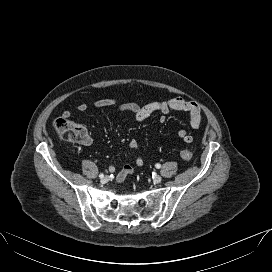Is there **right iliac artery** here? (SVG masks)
<instances>
[{"mask_svg":"<svg viewBox=\"0 0 272 272\" xmlns=\"http://www.w3.org/2000/svg\"><path fill=\"white\" fill-rule=\"evenodd\" d=\"M99 177L102 179V178L104 177V175L101 173V174L99 175Z\"/></svg>","mask_w":272,"mask_h":272,"instance_id":"1","label":"right iliac artery"}]
</instances>
